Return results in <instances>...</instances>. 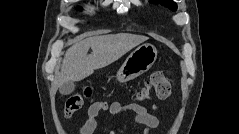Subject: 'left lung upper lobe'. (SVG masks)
<instances>
[{"label":"left lung upper lobe","mask_w":239,"mask_h":134,"mask_svg":"<svg viewBox=\"0 0 239 134\" xmlns=\"http://www.w3.org/2000/svg\"><path fill=\"white\" fill-rule=\"evenodd\" d=\"M152 3H161L172 11L177 9V5L173 0H149Z\"/></svg>","instance_id":"left-lung-upper-lobe-1"}]
</instances>
